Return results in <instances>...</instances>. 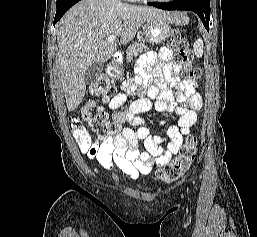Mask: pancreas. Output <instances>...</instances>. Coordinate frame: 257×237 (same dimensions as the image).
<instances>
[{"label": "pancreas", "instance_id": "obj_1", "mask_svg": "<svg viewBox=\"0 0 257 237\" xmlns=\"http://www.w3.org/2000/svg\"><path fill=\"white\" fill-rule=\"evenodd\" d=\"M147 49V46L144 43H133L130 45L126 51L127 60H132L134 56H138L144 50Z\"/></svg>", "mask_w": 257, "mask_h": 237}]
</instances>
